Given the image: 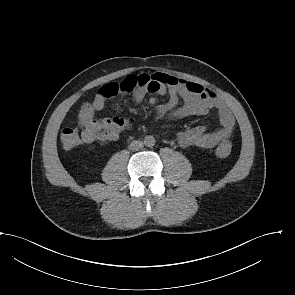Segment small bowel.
<instances>
[{
	"instance_id": "obj_1",
	"label": "small bowel",
	"mask_w": 295,
	"mask_h": 295,
	"mask_svg": "<svg viewBox=\"0 0 295 295\" xmlns=\"http://www.w3.org/2000/svg\"><path fill=\"white\" fill-rule=\"evenodd\" d=\"M134 89V100L140 103L147 93L168 95L165 103L158 104L155 97L149 99L159 119L175 120L187 116H204L216 110L221 127L206 131L204 126H195L177 134L183 148L212 149L226 141L232 134L235 118L227 104L212 90L202 85L164 73L140 74ZM106 98L99 92L93 101L85 103L79 112L78 123L85 143L115 141L120 133L131 125V120L122 117L96 119V112L105 106Z\"/></svg>"
}]
</instances>
